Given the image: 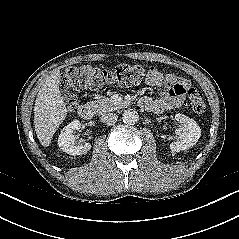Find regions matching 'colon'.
Masks as SVG:
<instances>
[{
  "label": "colon",
  "mask_w": 239,
  "mask_h": 239,
  "mask_svg": "<svg viewBox=\"0 0 239 239\" xmlns=\"http://www.w3.org/2000/svg\"><path fill=\"white\" fill-rule=\"evenodd\" d=\"M145 76V69L138 64H121L111 69L90 65L68 68L61 76V87L69 109L76 106L75 90L101 89L109 85L130 87L138 85ZM188 103L195 113H203L206 105L202 93L197 89L188 91Z\"/></svg>",
  "instance_id": "5ec220e1"
}]
</instances>
